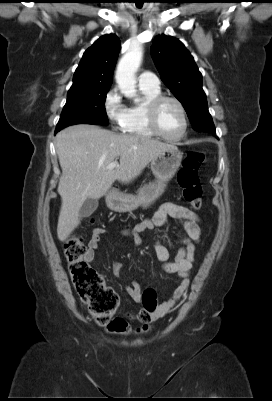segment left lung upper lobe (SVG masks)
I'll return each mask as SVG.
<instances>
[{
	"label": "left lung upper lobe",
	"mask_w": 272,
	"mask_h": 401,
	"mask_svg": "<svg viewBox=\"0 0 272 401\" xmlns=\"http://www.w3.org/2000/svg\"><path fill=\"white\" fill-rule=\"evenodd\" d=\"M151 53L162 81L184 106L194 130L215 133L202 75L184 44L172 36H157Z\"/></svg>",
	"instance_id": "left-lung-upper-lobe-1"
}]
</instances>
